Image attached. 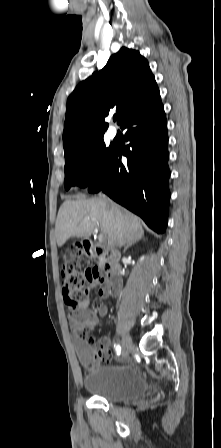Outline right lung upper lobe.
<instances>
[{
    "instance_id": "1",
    "label": "right lung upper lobe",
    "mask_w": 221,
    "mask_h": 448,
    "mask_svg": "<svg viewBox=\"0 0 221 448\" xmlns=\"http://www.w3.org/2000/svg\"><path fill=\"white\" fill-rule=\"evenodd\" d=\"M158 93L148 61L138 51L122 47L69 96L63 132L65 158L103 137L108 127L104 118L110 110H116L121 124Z\"/></svg>"
}]
</instances>
